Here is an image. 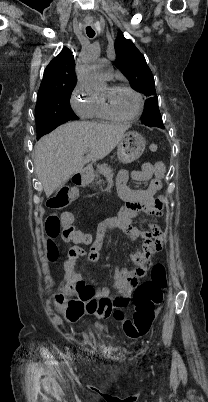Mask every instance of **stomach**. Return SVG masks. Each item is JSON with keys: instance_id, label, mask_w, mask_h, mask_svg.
<instances>
[{"instance_id": "1", "label": "stomach", "mask_w": 208, "mask_h": 402, "mask_svg": "<svg viewBox=\"0 0 208 402\" xmlns=\"http://www.w3.org/2000/svg\"><path fill=\"white\" fill-rule=\"evenodd\" d=\"M145 140L137 132H127L117 146L118 160L122 164H131L142 156L145 150ZM84 182H91V178H84Z\"/></svg>"}]
</instances>
